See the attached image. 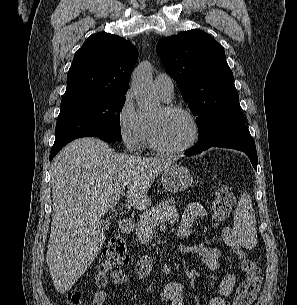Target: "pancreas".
<instances>
[{"label": "pancreas", "mask_w": 297, "mask_h": 305, "mask_svg": "<svg viewBox=\"0 0 297 305\" xmlns=\"http://www.w3.org/2000/svg\"><path fill=\"white\" fill-rule=\"evenodd\" d=\"M174 203L173 199L162 201L140 216L136 229L138 241L147 244L156 233L158 224L175 223L179 219Z\"/></svg>", "instance_id": "cf45deb5"}]
</instances>
